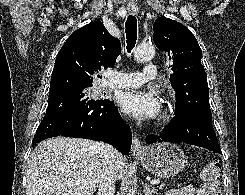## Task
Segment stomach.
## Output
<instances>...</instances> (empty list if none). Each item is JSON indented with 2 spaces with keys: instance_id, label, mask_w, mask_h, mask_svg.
I'll use <instances>...</instances> for the list:
<instances>
[{
  "instance_id": "1",
  "label": "stomach",
  "mask_w": 245,
  "mask_h": 195,
  "mask_svg": "<svg viewBox=\"0 0 245 195\" xmlns=\"http://www.w3.org/2000/svg\"><path fill=\"white\" fill-rule=\"evenodd\" d=\"M135 156L147 171L160 178H169L179 174L187 163L184 152L171 143L145 146Z\"/></svg>"
}]
</instances>
